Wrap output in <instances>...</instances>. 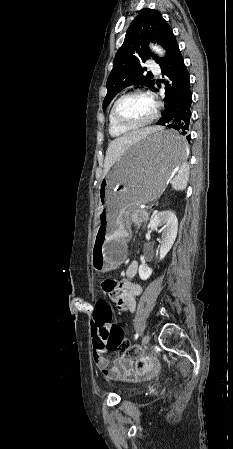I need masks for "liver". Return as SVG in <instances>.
Returning a JSON list of instances; mask_svg holds the SVG:
<instances>
[{
  "instance_id": "liver-1",
  "label": "liver",
  "mask_w": 233,
  "mask_h": 449,
  "mask_svg": "<svg viewBox=\"0 0 233 449\" xmlns=\"http://www.w3.org/2000/svg\"><path fill=\"white\" fill-rule=\"evenodd\" d=\"M161 128L158 126L146 127L130 133H122L121 137L113 140L106 151V157L104 161V176L108 173L110 168L118 162L124 153L129 149L131 145L136 142H141L142 138L159 131Z\"/></svg>"
}]
</instances>
